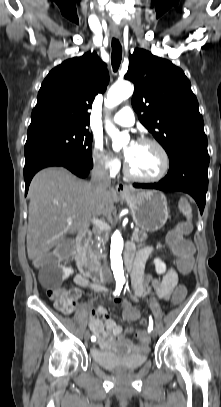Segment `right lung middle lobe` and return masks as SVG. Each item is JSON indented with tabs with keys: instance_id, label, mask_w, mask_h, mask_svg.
<instances>
[{
	"instance_id": "dd1d6c3e",
	"label": "right lung middle lobe",
	"mask_w": 221,
	"mask_h": 407,
	"mask_svg": "<svg viewBox=\"0 0 221 407\" xmlns=\"http://www.w3.org/2000/svg\"><path fill=\"white\" fill-rule=\"evenodd\" d=\"M92 135L85 127L47 125L29 128L25 157L39 150H56L85 165H92Z\"/></svg>"
}]
</instances>
